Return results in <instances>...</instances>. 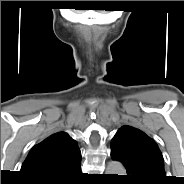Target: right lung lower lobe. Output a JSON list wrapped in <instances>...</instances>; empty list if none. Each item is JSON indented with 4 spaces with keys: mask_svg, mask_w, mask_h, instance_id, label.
I'll return each mask as SVG.
<instances>
[{
    "mask_svg": "<svg viewBox=\"0 0 184 184\" xmlns=\"http://www.w3.org/2000/svg\"><path fill=\"white\" fill-rule=\"evenodd\" d=\"M81 161L75 164L66 172L63 176L56 180H47V181H34V184H74L76 179L81 174Z\"/></svg>",
    "mask_w": 184,
    "mask_h": 184,
    "instance_id": "obj_1",
    "label": "right lung lower lobe"
}]
</instances>
